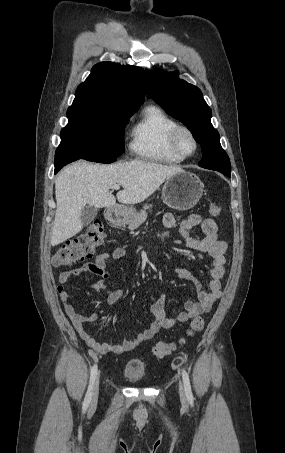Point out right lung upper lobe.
Here are the masks:
<instances>
[{
  "mask_svg": "<svg viewBox=\"0 0 285 453\" xmlns=\"http://www.w3.org/2000/svg\"><path fill=\"white\" fill-rule=\"evenodd\" d=\"M147 89L148 80L142 68L101 62L78 86L72 106L135 111L144 102Z\"/></svg>",
  "mask_w": 285,
  "mask_h": 453,
  "instance_id": "cb5924a9",
  "label": "right lung upper lobe"
}]
</instances>
